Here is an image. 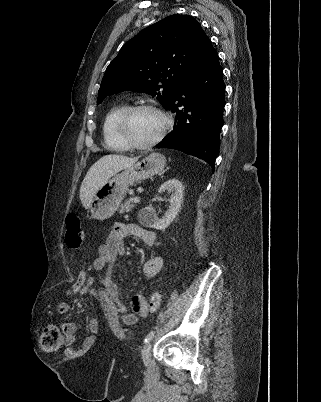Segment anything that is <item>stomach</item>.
<instances>
[{"instance_id":"obj_1","label":"stomach","mask_w":321,"mask_h":402,"mask_svg":"<svg viewBox=\"0 0 321 402\" xmlns=\"http://www.w3.org/2000/svg\"><path fill=\"white\" fill-rule=\"evenodd\" d=\"M164 167L165 158L154 152L116 173L91 198L89 210L92 218L98 220L110 218L123 201L129 186L161 173Z\"/></svg>"}]
</instances>
